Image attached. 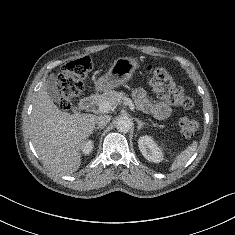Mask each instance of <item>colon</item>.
<instances>
[{
  "instance_id": "1",
  "label": "colon",
  "mask_w": 235,
  "mask_h": 235,
  "mask_svg": "<svg viewBox=\"0 0 235 235\" xmlns=\"http://www.w3.org/2000/svg\"><path fill=\"white\" fill-rule=\"evenodd\" d=\"M92 68L89 57L72 60L63 66L58 76V105L62 110H69L73 100L83 90V80ZM150 85L157 95L166 102L189 109L193 106L192 99L178 85L167 70L149 65L147 67ZM181 133L192 137L199 128V120L193 116H182L179 120Z\"/></svg>"
}]
</instances>
